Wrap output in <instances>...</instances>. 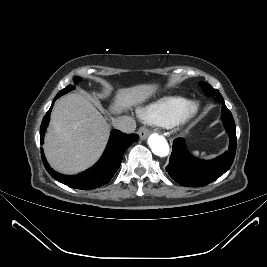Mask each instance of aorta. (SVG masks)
<instances>
[{
    "label": "aorta",
    "mask_w": 267,
    "mask_h": 267,
    "mask_svg": "<svg viewBox=\"0 0 267 267\" xmlns=\"http://www.w3.org/2000/svg\"><path fill=\"white\" fill-rule=\"evenodd\" d=\"M148 145L151 148L152 152L159 156L165 157L169 154V145L166 139L158 134H152L148 138Z\"/></svg>",
    "instance_id": "1"
}]
</instances>
